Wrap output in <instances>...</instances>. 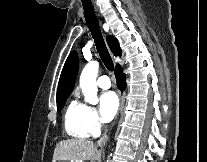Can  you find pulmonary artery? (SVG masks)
<instances>
[{
  "instance_id": "e3ab8cb5",
  "label": "pulmonary artery",
  "mask_w": 207,
  "mask_h": 162,
  "mask_svg": "<svg viewBox=\"0 0 207 162\" xmlns=\"http://www.w3.org/2000/svg\"><path fill=\"white\" fill-rule=\"evenodd\" d=\"M97 85L101 89H109L111 87V82L108 76L102 75L97 79Z\"/></svg>"
}]
</instances>
